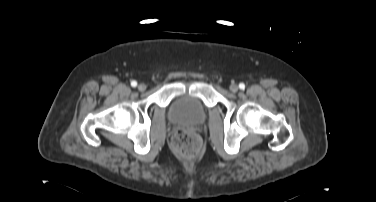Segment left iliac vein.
<instances>
[{
    "label": "left iliac vein",
    "instance_id": "obj_1",
    "mask_svg": "<svg viewBox=\"0 0 376 202\" xmlns=\"http://www.w3.org/2000/svg\"><path fill=\"white\" fill-rule=\"evenodd\" d=\"M238 85H236V84H231L230 85V91L231 92H233V93H235V92H237L238 91Z\"/></svg>",
    "mask_w": 376,
    "mask_h": 202
}]
</instances>
